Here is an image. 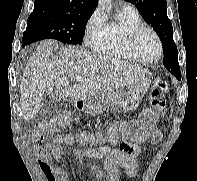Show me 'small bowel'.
Wrapping results in <instances>:
<instances>
[{
    "label": "small bowel",
    "mask_w": 197,
    "mask_h": 181,
    "mask_svg": "<svg viewBox=\"0 0 197 181\" xmlns=\"http://www.w3.org/2000/svg\"><path fill=\"white\" fill-rule=\"evenodd\" d=\"M126 123L120 125V132L123 139L130 146L129 151L113 149L106 151L105 146L86 147L81 150H72L77 156L82 166H87L88 170L98 179V181H119L120 170L123 169L129 176H135L137 173V157L142 154V149L130 137V132L124 128ZM152 141L157 144L162 139V134L158 129H154L151 135ZM36 145V156L39 159L40 168L48 181H68V171L66 169L60 142L50 143L46 147H41V140L34 139ZM105 157L103 167L101 168L96 159ZM55 161L59 166H53Z\"/></svg>",
    "instance_id": "1"
}]
</instances>
